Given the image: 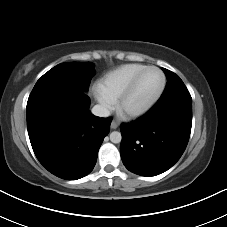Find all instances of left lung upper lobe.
<instances>
[{"mask_svg": "<svg viewBox=\"0 0 227 227\" xmlns=\"http://www.w3.org/2000/svg\"><path fill=\"white\" fill-rule=\"evenodd\" d=\"M166 77V88L157 103L166 101H186L192 102L191 95L183 81L175 73L163 68Z\"/></svg>", "mask_w": 227, "mask_h": 227, "instance_id": "5c2ea615", "label": "left lung upper lobe"}]
</instances>
